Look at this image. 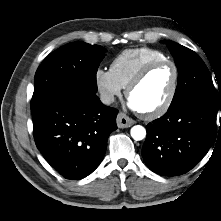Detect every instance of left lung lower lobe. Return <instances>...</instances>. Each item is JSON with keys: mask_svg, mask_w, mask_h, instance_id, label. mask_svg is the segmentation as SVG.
I'll use <instances>...</instances> for the list:
<instances>
[{"mask_svg": "<svg viewBox=\"0 0 221 221\" xmlns=\"http://www.w3.org/2000/svg\"><path fill=\"white\" fill-rule=\"evenodd\" d=\"M216 109L206 101L189 98L173 105L146 126L142 156L153 172L178 176L196 166L217 134Z\"/></svg>", "mask_w": 221, "mask_h": 221, "instance_id": "1", "label": "left lung lower lobe"}]
</instances>
